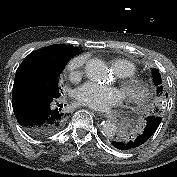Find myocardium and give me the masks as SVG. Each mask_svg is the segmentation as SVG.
<instances>
[{"mask_svg": "<svg viewBox=\"0 0 177 177\" xmlns=\"http://www.w3.org/2000/svg\"><path fill=\"white\" fill-rule=\"evenodd\" d=\"M120 85L126 99L132 104L145 101L149 95L146 82L138 76L126 77L120 81Z\"/></svg>", "mask_w": 177, "mask_h": 177, "instance_id": "1", "label": "myocardium"}]
</instances>
